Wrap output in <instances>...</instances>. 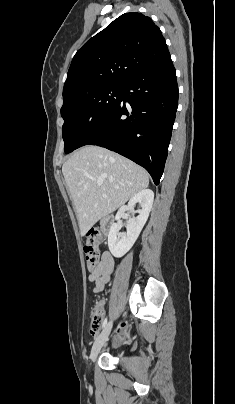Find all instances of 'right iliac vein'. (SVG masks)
Returning <instances> with one entry per match:
<instances>
[{"instance_id":"obj_1","label":"right iliac vein","mask_w":235,"mask_h":404,"mask_svg":"<svg viewBox=\"0 0 235 404\" xmlns=\"http://www.w3.org/2000/svg\"><path fill=\"white\" fill-rule=\"evenodd\" d=\"M112 329V322L108 323L103 332L100 334V336L97 338L95 343L92 346L91 353H90V359L91 361H94L99 354L102 346L104 343L107 341L108 336L111 332Z\"/></svg>"}]
</instances>
